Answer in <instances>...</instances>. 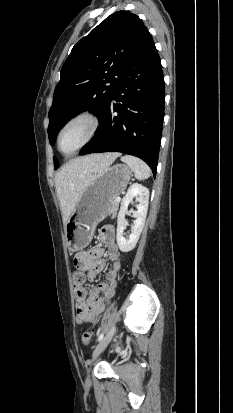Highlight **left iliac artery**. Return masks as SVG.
<instances>
[{
	"label": "left iliac artery",
	"mask_w": 233,
	"mask_h": 413,
	"mask_svg": "<svg viewBox=\"0 0 233 413\" xmlns=\"http://www.w3.org/2000/svg\"><path fill=\"white\" fill-rule=\"evenodd\" d=\"M103 336H104V334H103V333H101V334L99 335V337H98V341H101V340H102V338H103Z\"/></svg>",
	"instance_id": "1"
}]
</instances>
